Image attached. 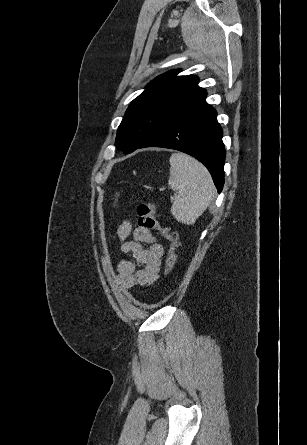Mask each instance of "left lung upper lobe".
Segmentation results:
<instances>
[{
    "label": "left lung upper lobe",
    "mask_w": 307,
    "mask_h": 445,
    "mask_svg": "<svg viewBox=\"0 0 307 445\" xmlns=\"http://www.w3.org/2000/svg\"><path fill=\"white\" fill-rule=\"evenodd\" d=\"M169 71L150 82L135 98L118 127L116 141L125 153L136 150L147 138L206 98L194 75Z\"/></svg>",
    "instance_id": "1"
}]
</instances>
